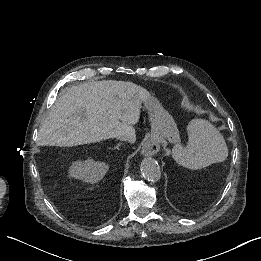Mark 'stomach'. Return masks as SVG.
Listing matches in <instances>:
<instances>
[{"label":"stomach","instance_id":"1","mask_svg":"<svg viewBox=\"0 0 261 261\" xmlns=\"http://www.w3.org/2000/svg\"><path fill=\"white\" fill-rule=\"evenodd\" d=\"M143 104L149 113L152 135L166 138L170 142H177L179 139L177 125L158 99L150 95Z\"/></svg>","mask_w":261,"mask_h":261}]
</instances>
